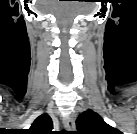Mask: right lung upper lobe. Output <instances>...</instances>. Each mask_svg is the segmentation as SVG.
Wrapping results in <instances>:
<instances>
[{"label": "right lung upper lobe", "instance_id": "right-lung-upper-lobe-1", "mask_svg": "<svg viewBox=\"0 0 137 134\" xmlns=\"http://www.w3.org/2000/svg\"><path fill=\"white\" fill-rule=\"evenodd\" d=\"M53 122L51 117L44 113L37 117L31 127L25 132L27 134H53Z\"/></svg>", "mask_w": 137, "mask_h": 134}]
</instances>
